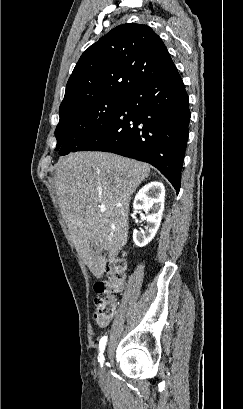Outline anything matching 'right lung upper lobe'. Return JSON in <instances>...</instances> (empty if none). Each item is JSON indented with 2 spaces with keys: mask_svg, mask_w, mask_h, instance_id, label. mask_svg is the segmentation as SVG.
<instances>
[{
  "mask_svg": "<svg viewBox=\"0 0 243 409\" xmlns=\"http://www.w3.org/2000/svg\"><path fill=\"white\" fill-rule=\"evenodd\" d=\"M176 70L161 38L149 26L119 25L82 54L60 109L94 98L126 97Z\"/></svg>",
  "mask_w": 243,
  "mask_h": 409,
  "instance_id": "right-lung-upper-lobe-1",
  "label": "right lung upper lobe"
}]
</instances>
